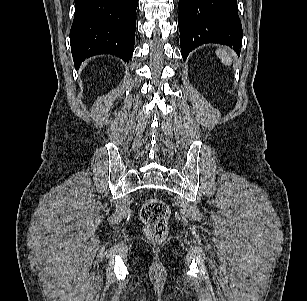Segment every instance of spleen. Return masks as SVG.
<instances>
[{
	"mask_svg": "<svg viewBox=\"0 0 307 301\" xmlns=\"http://www.w3.org/2000/svg\"><path fill=\"white\" fill-rule=\"evenodd\" d=\"M216 55L219 57V59L222 61V63L226 66L231 65L232 58L229 52L226 49H218L216 51Z\"/></svg>",
	"mask_w": 307,
	"mask_h": 301,
	"instance_id": "obj_1",
	"label": "spleen"
}]
</instances>
